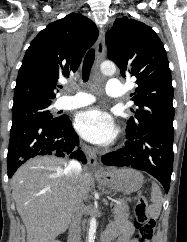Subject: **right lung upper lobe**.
<instances>
[{
  "mask_svg": "<svg viewBox=\"0 0 187 242\" xmlns=\"http://www.w3.org/2000/svg\"><path fill=\"white\" fill-rule=\"evenodd\" d=\"M98 30L87 17L71 13L42 30L31 42L18 72L14 104L51 102L60 77L77 71Z\"/></svg>",
  "mask_w": 187,
  "mask_h": 242,
  "instance_id": "1",
  "label": "right lung upper lobe"
}]
</instances>
